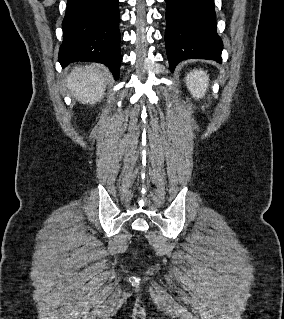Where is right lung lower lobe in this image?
<instances>
[{"mask_svg": "<svg viewBox=\"0 0 284 319\" xmlns=\"http://www.w3.org/2000/svg\"><path fill=\"white\" fill-rule=\"evenodd\" d=\"M118 0H68L58 60L105 64L117 80L121 64Z\"/></svg>", "mask_w": 284, "mask_h": 319, "instance_id": "obj_1", "label": "right lung lower lobe"}]
</instances>
